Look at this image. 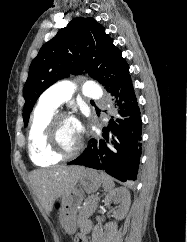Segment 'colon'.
<instances>
[{
  "label": "colon",
  "mask_w": 187,
  "mask_h": 242,
  "mask_svg": "<svg viewBox=\"0 0 187 242\" xmlns=\"http://www.w3.org/2000/svg\"><path fill=\"white\" fill-rule=\"evenodd\" d=\"M73 242H77V239H76V240H74Z\"/></svg>",
  "instance_id": "colon-1"
}]
</instances>
